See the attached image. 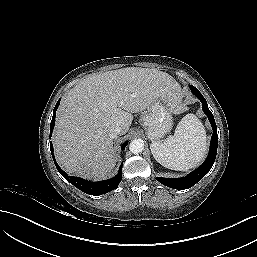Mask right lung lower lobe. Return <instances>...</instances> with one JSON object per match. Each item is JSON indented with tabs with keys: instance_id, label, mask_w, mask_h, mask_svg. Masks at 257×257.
Segmentation results:
<instances>
[{
	"instance_id": "98d812e1",
	"label": "right lung lower lobe",
	"mask_w": 257,
	"mask_h": 257,
	"mask_svg": "<svg viewBox=\"0 0 257 257\" xmlns=\"http://www.w3.org/2000/svg\"><path fill=\"white\" fill-rule=\"evenodd\" d=\"M59 101L57 102L54 110H53V117L51 120V124H50V137L53 131V127L55 124V116H56V110L59 106ZM127 145V142L123 143L121 150H124L125 147ZM50 150L52 153V157L54 159V163L55 166L57 168V170L59 171V173L71 184H73L76 188H78L79 190H81L82 192L89 194V195H101V194H105L107 192H110L114 189L117 188L118 184L120 183L121 179H122V166H120L119 168V172L118 174L111 179L108 180H104V181H99V182H90L87 180H84L83 178L80 177H73V176H68L57 164V162H55V157L53 154V145L50 142Z\"/></svg>"
}]
</instances>
